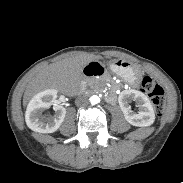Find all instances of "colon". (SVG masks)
<instances>
[{
	"instance_id": "1",
	"label": "colon",
	"mask_w": 183,
	"mask_h": 183,
	"mask_svg": "<svg viewBox=\"0 0 183 183\" xmlns=\"http://www.w3.org/2000/svg\"><path fill=\"white\" fill-rule=\"evenodd\" d=\"M142 91L151 99L158 115H162L165 108L166 97L162 86L152 78L145 77L141 83Z\"/></svg>"
}]
</instances>
